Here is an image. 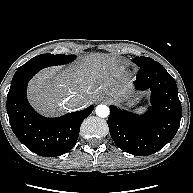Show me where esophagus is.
Masks as SVG:
<instances>
[{
  "label": "esophagus",
  "instance_id": "1",
  "mask_svg": "<svg viewBox=\"0 0 193 193\" xmlns=\"http://www.w3.org/2000/svg\"><path fill=\"white\" fill-rule=\"evenodd\" d=\"M102 100V98H98V101H101Z\"/></svg>",
  "mask_w": 193,
  "mask_h": 193
}]
</instances>
